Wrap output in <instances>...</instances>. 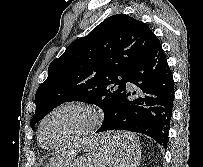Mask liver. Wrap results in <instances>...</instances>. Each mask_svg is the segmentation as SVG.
I'll return each instance as SVG.
<instances>
[{"label":"liver","mask_w":203,"mask_h":167,"mask_svg":"<svg viewBox=\"0 0 203 167\" xmlns=\"http://www.w3.org/2000/svg\"><path fill=\"white\" fill-rule=\"evenodd\" d=\"M134 140V136L130 133H113L103 135L98 141L93 144V147H98L102 143H113L117 142L122 146H130V143ZM74 159V154L62 153L56 157L49 160L46 167H68L72 160Z\"/></svg>","instance_id":"1"}]
</instances>
